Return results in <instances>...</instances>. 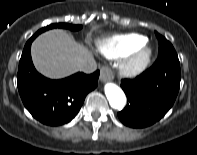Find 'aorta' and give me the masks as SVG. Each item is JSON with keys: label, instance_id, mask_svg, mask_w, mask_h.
Returning <instances> with one entry per match:
<instances>
[{"label": "aorta", "instance_id": "obj_1", "mask_svg": "<svg viewBox=\"0 0 197 155\" xmlns=\"http://www.w3.org/2000/svg\"><path fill=\"white\" fill-rule=\"evenodd\" d=\"M105 95L110 105L121 110L126 105V96L124 92L114 83H107L104 87Z\"/></svg>", "mask_w": 197, "mask_h": 155}]
</instances>
